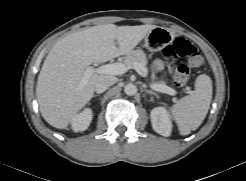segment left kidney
Here are the masks:
<instances>
[{"mask_svg":"<svg viewBox=\"0 0 246 181\" xmlns=\"http://www.w3.org/2000/svg\"><path fill=\"white\" fill-rule=\"evenodd\" d=\"M150 117L155 132L165 137L171 134L172 122L165 108H154L150 113Z\"/></svg>","mask_w":246,"mask_h":181,"instance_id":"5707ae66","label":"left kidney"}]
</instances>
